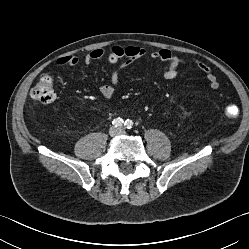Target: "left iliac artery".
Returning <instances> with one entry per match:
<instances>
[{"mask_svg": "<svg viewBox=\"0 0 249 249\" xmlns=\"http://www.w3.org/2000/svg\"><path fill=\"white\" fill-rule=\"evenodd\" d=\"M124 125H125V127H126L127 129H131L132 126H133V122H132V120L127 119V120L125 121Z\"/></svg>", "mask_w": 249, "mask_h": 249, "instance_id": "obj_1", "label": "left iliac artery"}]
</instances>
